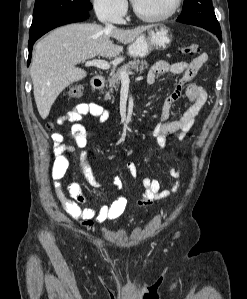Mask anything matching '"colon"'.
<instances>
[{"label":"colon","instance_id":"1","mask_svg":"<svg viewBox=\"0 0 247 299\" xmlns=\"http://www.w3.org/2000/svg\"><path fill=\"white\" fill-rule=\"evenodd\" d=\"M201 51V48L198 44H191L184 46L180 49V53L185 56H193ZM66 95L71 99H79L83 95V87L81 85H73L71 86L67 92ZM48 129L52 128V124L47 125Z\"/></svg>","mask_w":247,"mask_h":299}]
</instances>
